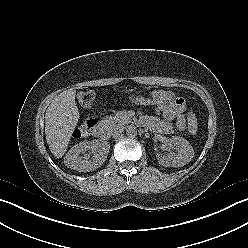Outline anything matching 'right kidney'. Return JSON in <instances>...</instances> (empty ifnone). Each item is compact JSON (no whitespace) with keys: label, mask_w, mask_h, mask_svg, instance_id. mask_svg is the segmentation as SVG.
I'll list each match as a JSON object with an SVG mask.
<instances>
[{"label":"right kidney","mask_w":248,"mask_h":248,"mask_svg":"<svg viewBox=\"0 0 248 248\" xmlns=\"http://www.w3.org/2000/svg\"><path fill=\"white\" fill-rule=\"evenodd\" d=\"M109 149L108 142H101L98 139L83 141L68 151L64 158V164L79 172L94 171L105 162ZM87 150H91L93 153L91 159L89 155L84 154Z\"/></svg>","instance_id":"ca27d5eb"}]
</instances>
